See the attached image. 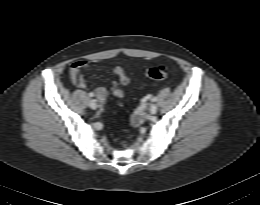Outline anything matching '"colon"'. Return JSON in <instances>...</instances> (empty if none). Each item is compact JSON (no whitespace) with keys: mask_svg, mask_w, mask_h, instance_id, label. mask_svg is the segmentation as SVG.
Here are the masks:
<instances>
[{"mask_svg":"<svg viewBox=\"0 0 260 205\" xmlns=\"http://www.w3.org/2000/svg\"><path fill=\"white\" fill-rule=\"evenodd\" d=\"M147 77L154 80H165L169 75L168 68L165 65H157L151 68H148L145 71Z\"/></svg>","mask_w":260,"mask_h":205,"instance_id":"colon-1","label":"colon"}]
</instances>
